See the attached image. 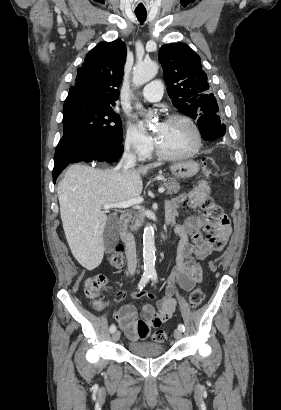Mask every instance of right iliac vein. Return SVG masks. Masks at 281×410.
<instances>
[{"label":"right iliac vein","mask_w":281,"mask_h":410,"mask_svg":"<svg viewBox=\"0 0 281 410\" xmlns=\"http://www.w3.org/2000/svg\"><path fill=\"white\" fill-rule=\"evenodd\" d=\"M112 339H113V341H118L119 339H120V331H115L114 333H113V335H112Z\"/></svg>","instance_id":"obj_1"}]
</instances>
